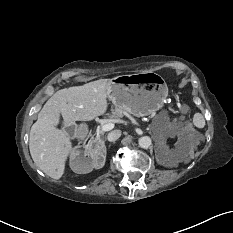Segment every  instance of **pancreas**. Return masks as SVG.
<instances>
[{"instance_id": "obj_1", "label": "pancreas", "mask_w": 233, "mask_h": 233, "mask_svg": "<svg viewBox=\"0 0 233 233\" xmlns=\"http://www.w3.org/2000/svg\"><path fill=\"white\" fill-rule=\"evenodd\" d=\"M124 110L116 108L113 112L112 118L121 117Z\"/></svg>"}]
</instances>
